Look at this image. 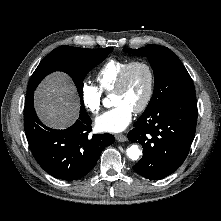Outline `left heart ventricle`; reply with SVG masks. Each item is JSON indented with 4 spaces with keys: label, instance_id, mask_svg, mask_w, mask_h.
Returning <instances> with one entry per match:
<instances>
[{
    "label": "left heart ventricle",
    "instance_id": "left-heart-ventricle-1",
    "mask_svg": "<svg viewBox=\"0 0 221 221\" xmlns=\"http://www.w3.org/2000/svg\"><path fill=\"white\" fill-rule=\"evenodd\" d=\"M148 89V74L142 66L133 67L125 88L112 96L114 105L125 104L133 111L142 103Z\"/></svg>",
    "mask_w": 221,
    "mask_h": 221
}]
</instances>
